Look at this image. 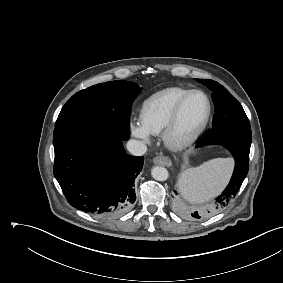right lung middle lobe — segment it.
Masks as SVG:
<instances>
[{"label": "right lung middle lobe", "instance_id": "1", "mask_svg": "<svg viewBox=\"0 0 283 283\" xmlns=\"http://www.w3.org/2000/svg\"><path fill=\"white\" fill-rule=\"evenodd\" d=\"M140 90L133 82L119 80L97 84L74 94L57 118L54 148L89 132H107L127 140L131 105Z\"/></svg>", "mask_w": 283, "mask_h": 283}]
</instances>
